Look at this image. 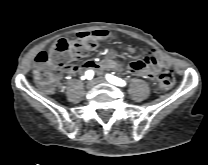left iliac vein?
Returning <instances> with one entry per match:
<instances>
[{"label":"left iliac vein","instance_id":"4c4485c4","mask_svg":"<svg viewBox=\"0 0 208 165\" xmlns=\"http://www.w3.org/2000/svg\"><path fill=\"white\" fill-rule=\"evenodd\" d=\"M96 82H97V83H104V82H106V79H105L104 77H98V78L96 79Z\"/></svg>","mask_w":208,"mask_h":165}]
</instances>
